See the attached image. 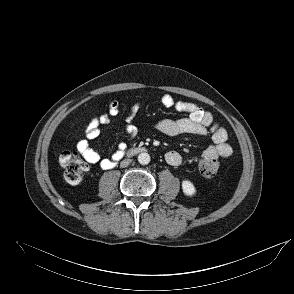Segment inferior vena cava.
<instances>
[{"label": "inferior vena cava", "mask_w": 294, "mask_h": 294, "mask_svg": "<svg viewBox=\"0 0 294 294\" xmlns=\"http://www.w3.org/2000/svg\"><path fill=\"white\" fill-rule=\"evenodd\" d=\"M131 162V159H125L121 162V167H127Z\"/></svg>", "instance_id": "obj_1"}]
</instances>
